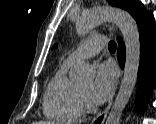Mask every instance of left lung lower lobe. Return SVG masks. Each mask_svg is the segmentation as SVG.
Instances as JSON below:
<instances>
[{"label":"left lung lower lobe","mask_w":156,"mask_h":124,"mask_svg":"<svg viewBox=\"0 0 156 124\" xmlns=\"http://www.w3.org/2000/svg\"><path fill=\"white\" fill-rule=\"evenodd\" d=\"M140 35V66L138 72L137 107L142 109L149 101L153 87L156 84V27L153 14L146 11L142 4L133 14ZM118 61L124 67L125 47L120 38Z\"/></svg>","instance_id":"obj_1"}]
</instances>
